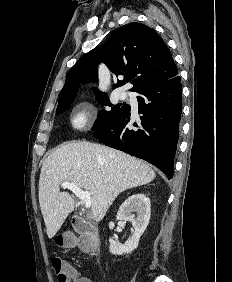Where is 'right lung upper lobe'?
<instances>
[{
    "instance_id": "1",
    "label": "right lung upper lobe",
    "mask_w": 232,
    "mask_h": 282,
    "mask_svg": "<svg viewBox=\"0 0 232 282\" xmlns=\"http://www.w3.org/2000/svg\"><path fill=\"white\" fill-rule=\"evenodd\" d=\"M101 60L116 76H124L114 88L132 80L131 91L137 92L146 84L165 81L178 74L168 47L155 30L132 22L113 31L104 45L94 48L74 65L59 100L75 95L79 83L96 81Z\"/></svg>"
}]
</instances>
